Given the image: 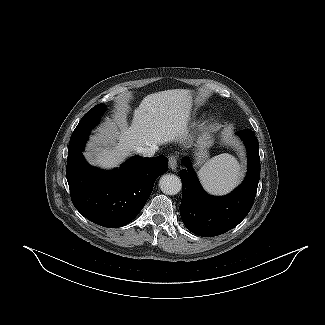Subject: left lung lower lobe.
<instances>
[{"label":"left lung lower lobe","mask_w":325,"mask_h":325,"mask_svg":"<svg viewBox=\"0 0 325 325\" xmlns=\"http://www.w3.org/2000/svg\"><path fill=\"white\" fill-rule=\"evenodd\" d=\"M248 153V171L242 185L223 197L208 195L200 186L190 160L183 158L187 170L180 171L183 195L180 214L188 230L202 237L223 234L237 226L249 213L260 178L259 144L249 130L238 131Z\"/></svg>","instance_id":"1"}]
</instances>
